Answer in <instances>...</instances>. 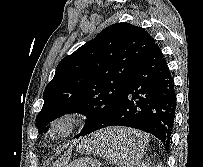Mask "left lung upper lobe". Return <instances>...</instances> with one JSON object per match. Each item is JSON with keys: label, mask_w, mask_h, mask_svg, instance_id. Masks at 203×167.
<instances>
[{"label": "left lung upper lobe", "mask_w": 203, "mask_h": 167, "mask_svg": "<svg viewBox=\"0 0 203 167\" xmlns=\"http://www.w3.org/2000/svg\"><path fill=\"white\" fill-rule=\"evenodd\" d=\"M156 45L143 28L124 22L106 27L63 58L44 90L38 132H46L47 124L69 113L88 119L76 137L97 130L113 115L133 70Z\"/></svg>", "instance_id": "obj_1"}]
</instances>
